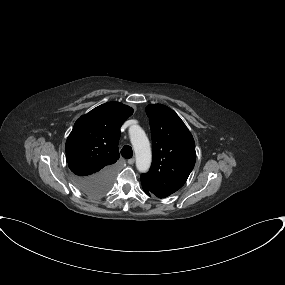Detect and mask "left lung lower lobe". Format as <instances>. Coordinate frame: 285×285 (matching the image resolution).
<instances>
[{"instance_id": "left-lung-lower-lobe-1", "label": "left lung lower lobe", "mask_w": 285, "mask_h": 285, "mask_svg": "<svg viewBox=\"0 0 285 285\" xmlns=\"http://www.w3.org/2000/svg\"><path fill=\"white\" fill-rule=\"evenodd\" d=\"M142 187H143L144 192H145L148 196H151L152 193H151L149 190H147L143 185H142Z\"/></svg>"}]
</instances>
